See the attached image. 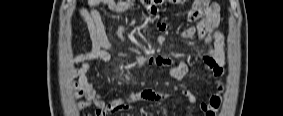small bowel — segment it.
<instances>
[{
	"label": "small bowel",
	"instance_id": "1",
	"mask_svg": "<svg viewBox=\"0 0 283 116\" xmlns=\"http://www.w3.org/2000/svg\"><path fill=\"white\" fill-rule=\"evenodd\" d=\"M133 1L123 0H89L88 8L81 7L78 12L84 20L88 29L91 48L83 53L75 55L71 62L79 65L75 70L77 77L76 95L84 97V101L76 108L83 110L94 106L96 115L102 116L109 113L131 109V103L139 100L153 102L164 101L171 97V91L143 90L133 92L127 96L117 98L106 103L102 99L100 89L87 78V73L95 61L109 62L112 59L111 52L116 51L115 45L108 39L101 14L97 7L104 5L110 12L125 14L132 6ZM190 20L197 21L193 26L182 32L184 38H192L194 35L197 41L204 47L205 52L200 55L205 75L220 78L223 74L225 64L224 39L219 31V8L206 0H196L190 13ZM168 27L164 23L159 24V29L164 31ZM140 65H156L165 68L169 75L178 81L185 79L189 64L186 61L173 63L168 57L143 56L139 59ZM223 90V86H220ZM182 94L189 103L196 104L197 97L191 91L184 89ZM221 104V92L214 94L208 102L200 103V110L205 116H214Z\"/></svg>",
	"mask_w": 283,
	"mask_h": 116
}]
</instances>
